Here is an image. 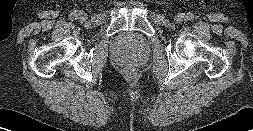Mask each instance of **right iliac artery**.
Masks as SVG:
<instances>
[{"label": "right iliac artery", "mask_w": 253, "mask_h": 131, "mask_svg": "<svg viewBox=\"0 0 253 131\" xmlns=\"http://www.w3.org/2000/svg\"><path fill=\"white\" fill-rule=\"evenodd\" d=\"M70 17H71V18H76V17H77V12H76V11H72V12L70 13Z\"/></svg>", "instance_id": "1"}]
</instances>
